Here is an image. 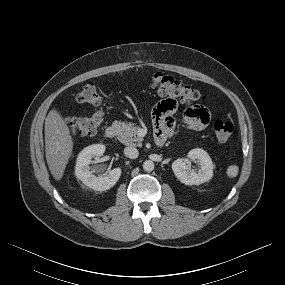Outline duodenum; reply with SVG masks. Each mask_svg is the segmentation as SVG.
Returning a JSON list of instances; mask_svg holds the SVG:
<instances>
[{
	"label": "duodenum",
	"instance_id": "410a0bca",
	"mask_svg": "<svg viewBox=\"0 0 285 285\" xmlns=\"http://www.w3.org/2000/svg\"><path fill=\"white\" fill-rule=\"evenodd\" d=\"M117 134V128L115 126H108L105 128L103 135L106 139L112 140ZM165 142V137H157V145L162 146Z\"/></svg>",
	"mask_w": 285,
	"mask_h": 285
}]
</instances>
